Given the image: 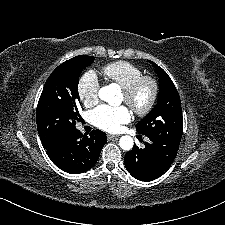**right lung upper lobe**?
Listing matches in <instances>:
<instances>
[{"mask_svg": "<svg viewBox=\"0 0 225 225\" xmlns=\"http://www.w3.org/2000/svg\"><path fill=\"white\" fill-rule=\"evenodd\" d=\"M50 145H52V144L51 143H47V144H44L43 146H44V148H46V147H48Z\"/></svg>", "mask_w": 225, "mask_h": 225, "instance_id": "obj_1", "label": "right lung upper lobe"}]
</instances>
